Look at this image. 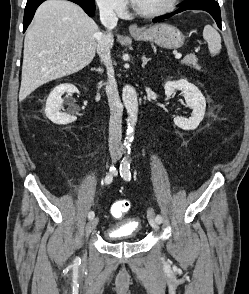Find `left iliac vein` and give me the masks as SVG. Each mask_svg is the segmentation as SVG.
Listing matches in <instances>:
<instances>
[{
	"instance_id": "obj_1",
	"label": "left iliac vein",
	"mask_w": 249,
	"mask_h": 294,
	"mask_svg": "<svg viewBox=\"0 0 249 294\" xmlns=\"http://www.w3.org/2000/svg\"><path fill=\"white\" fill-rule=\"evenodd\" d=\"M119 157H120V155H119ZM148 220H149L150 226L155 231H158V224H157V222L155 220L154 211L152 209H149V211H148Z\"/></svg>"
}]
</instances>
